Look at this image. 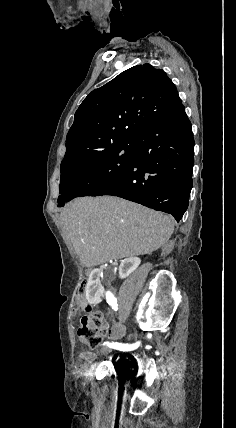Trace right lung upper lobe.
I'll return each instance as SVG.
<instances>
[{
    "label": "right lung upper lobe",
    "mask_w": 236,
    "mask_h": 428,
    "mask_svg": "<svg viewBox=\"0 0 236 428\" xmlns=\"http://www.w3.org/2000/svg\"><path fill=\"white\" fill-rule=\"evenodd\" d=\"M181 106L177 89L163 70L145 63L123 71L79 106L61 169L116 143L135 140Z\"/></svg>",
    "instance_id": "cb5924a9"
}]
</instances>
